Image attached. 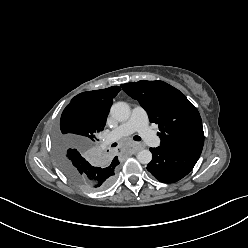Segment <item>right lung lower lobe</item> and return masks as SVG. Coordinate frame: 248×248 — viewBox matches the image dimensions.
Wrapping results in <instances>:
<instances>
[{
    "label": "right lung lower lobe",
    "mask_w": 248,
    "mask_h": 248,
    "mask_svg": "<svg viewBox=\"0 0 248 248\" xmlns=\"http://www.w3.org/2000/svg\"><path fill=\"white\" fill-rule=\"evenodd\" d=\"M78 153L79 152L76 149H72V152L68 155L70 161L77 163L78 161L76 156L78 155Z\"/></svg>",
    "instance_id": "1"
}]
</instances>
